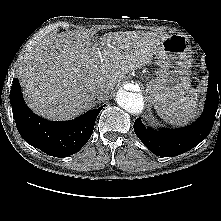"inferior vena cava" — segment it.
<instances>
[{
	"label": "inferior vena cava",
	"mask_w": 221,
	"mask_h": 221,
	"mask_svg": "<svg viewBox=\"0 0 221 221\" xmlns=\"http://www.w3.org/2000/svg\"><path fill=\"white\" fill-rule=\"evenodd\" d=\"M107 92H108V89L104 85L98 86L94 89V95L96 98L102 97Z\"/></svg>",
	"instance_id": "inferior-vena-cava-1"
}]
</instances>
